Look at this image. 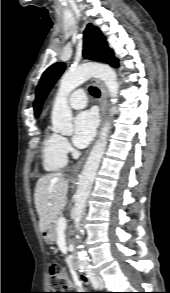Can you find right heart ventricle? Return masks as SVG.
I'll use <instances>...</instances> for the list:
<instances>
[{
	"label": "right heart ventricle",
	"mask_w": 170,
	"mask_h": 293,
	"mask_svg": "<svg viewBox=\"0 0 170 293\" xmlns=\"http://www.w3.org/2000/svg\"><path fill=\"white\" fill-rule=\"evenodd\" d=\"M41 160L43 169L54 172L62 169L67 163V156L60 147V136L46 128L41 142Z\"/></svg>",
	"instance_id": "obj_1"
}]
</instances>
